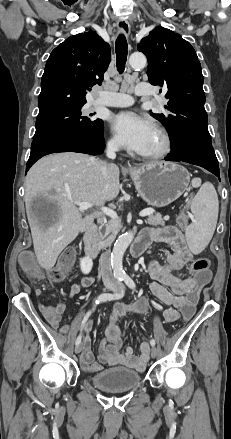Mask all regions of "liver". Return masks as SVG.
<instances>
[{
    "label": "liver",
    "instance_id": "1",
    "mask_svg": "<svg viewBox=\"0 0 231 439\" xmlns=\"http://www.w3.org/2000/svg\"><path fill=\"white\" fill-rule=\"evenodd\" d=\"M119 168L111 164L107 179L100 160L81 153H55L41 158L25 179V204L34 251L39 265L51 270L62 250L94 222L95 214L82 217L74 202H89L96 208L119 194ZM35 198L54 205L32 210ZM37 212V213H36Z\"/></svg>",
    "mask_w": 231,
    "mask_h": 439
}]
</instances>
